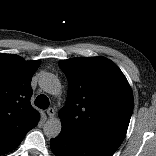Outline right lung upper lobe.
Returning <instances> with one entry per match:
<instances>
[{"label": "right lung upper lobe", "mask_w": 156, "mask_h": 156, "mask_svg": "<svg viewBox=\"0 0 156 156\" xmlns=\"http://www.w3.org/2000/svg\"><path fill=\"white\" fill-rule=\"evenodd\" d=\"M40 61H25L18 55L0 53V149L20 143L39 121L30 103L31 79ZM0 150V154H1Z\"/></svg>", "instance_id": "cb5924a9"}]
</instances>
